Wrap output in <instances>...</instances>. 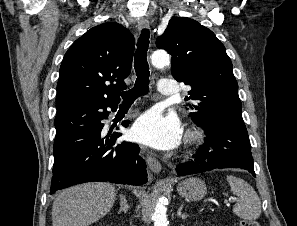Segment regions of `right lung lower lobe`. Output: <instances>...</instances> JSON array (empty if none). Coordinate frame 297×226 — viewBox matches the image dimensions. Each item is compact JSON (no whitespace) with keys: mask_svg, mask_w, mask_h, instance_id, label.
<instances>
[{"mask_svg":"<svg viewBox=\"0 0 297 226\" xmlns=\"http://www.w3.org/2000/svg\"><path fill=\"white\" fill-rule=\"evenodd\" d=\"M117 104L86 102L57 111L50 194L84 182L142 185L148 181L139 147L130 142L116 145L122 135L119 132L102 133L101 120L108 117L107 108L115 110ZM122 125L127 127L129 121Z\"/></svg>","mask_w":297,"mask_h":226,"instance_id":"98d812e1","label":"right lung lower lobe"}]
</instances>
